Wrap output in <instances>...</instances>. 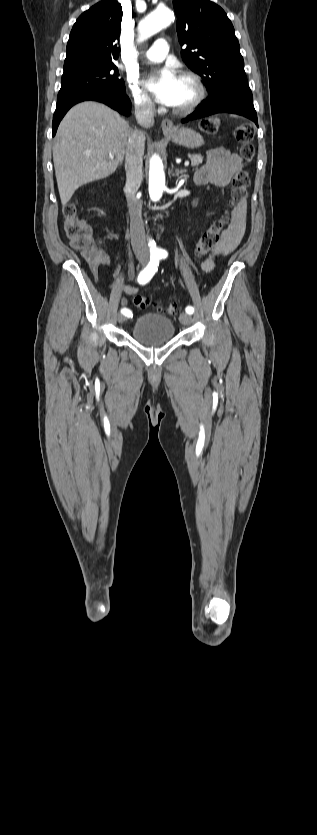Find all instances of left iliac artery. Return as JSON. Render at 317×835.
<instances>
[{"mask_svg": "<svg viewBox=\"0 0 317 835\" xmlns=\"http://www.w3.org/2000/svg\"><path fill=\"white\" fill-rule=\"evenodd\" d=\"M167 256H168V252L166 250H161L159 252V255H158V257L161 258V259L162 258L165 259V258H167ZM185 311L188 314H192L194 312V308L192 306H187Z\"/></svg>", "mask_w": 317, "mask_h": 835, "instance_id": "1", "label": "left iliac artery"}]
</instances>
